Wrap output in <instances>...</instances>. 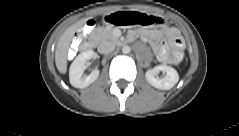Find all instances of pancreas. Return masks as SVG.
Segmentation results:
<instances>
[{"instance_id":"pancreas-1","label":"pancreas","mask_w":239,"mask_h":136,"mask_svg":"<svg viewBox=\"0 0 239 136\" xmlns=\"http://www.w3.org/2000/svg\"><path fill=\"white\" fill-rule=\"evenodd\" d=\"M91 37L96 39L97 41L101 42L104 40H111L114 42H118L119 39L113 34V31L109 28L105 27H98L96 28L93 33L91 34Z\"/></svg>"}]
</instances>
